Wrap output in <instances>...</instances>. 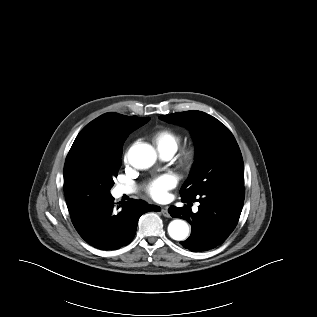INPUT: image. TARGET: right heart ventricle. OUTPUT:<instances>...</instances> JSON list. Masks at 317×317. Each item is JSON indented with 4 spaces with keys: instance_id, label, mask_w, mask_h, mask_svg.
<instances>
[{
    "instance_id": "e07e8e85",
    "label": "right heart ventricle",
    "mask_w": 317,
    "mask_h": 317,
    "mask_svg": "<svg viewBox=\"0 0 317 317\" xmlns=\"http://www.w3.org/2000/svg\"><path fill=\"white\" fill-rule=\"evenodd\" d=\"M182 140L180 133L167 127L157 129L152 134V141L161 154H174Z\"/></svg>"
}]
</instances>
